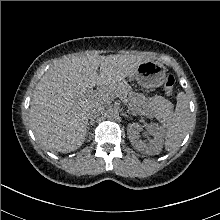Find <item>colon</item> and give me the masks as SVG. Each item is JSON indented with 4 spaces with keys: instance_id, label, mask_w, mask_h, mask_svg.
Instances as JSON below:
<instances>
[{
    "instance_id": "1",
    "label": "colon",
    "mask_w": 220,
    "mask_h": 220,
    "mask_svg": "<svg viewBox=\"0 0 220 220\" xmlns=\"http://www.w3.org/2000/svg\"><path fill=\"white\" fill-rule=\"evenodd\" d=\"M174 83V77L171 74H167L164 79V87L168 94L172 93Z\"/></svg>"
}]
</instances>
